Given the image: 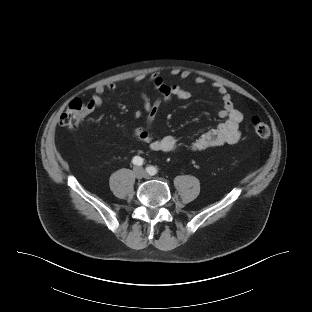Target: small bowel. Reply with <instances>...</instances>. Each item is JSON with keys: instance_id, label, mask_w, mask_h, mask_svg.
I'll return each instance as SVG.
<instances>
[{"instance_id": "c3829d8e", "label": "small bowel", "mask_w": 312, "mask_h": 312, "mask_svg": "<svg viewBox=\"0 0 312 312\" xmlns=\"http://www.w3.org/2000/svg\"><path fill=\"white\" fill-rule=\"evenodd\" d=\"M179 75L181 78L185 79L189 77L190 72L182 71ZM143 78V76H138L136 81H141ZM149 82L158 91L160 97L152 101L145 92L142 93L141 98L144 110H136L135 115L137 117H144L145 125L137 127L133 131V134L138 141L148 144L152 151H176L179 148L177 139L172 136H155L152 132V125L162 101L167 102L171 97L188 100L191 98L192 94L188 89L178 84H169L158 76L150 78ZM195 82L201 84L204 82V78L197 77L195 78ZM213 88L220 96L222 102V108L219 111V116L225 120L215 128L196 138L190 144V149L193 151H199L224 144H234L241 138L240 124L243 119L241 112L234 107L230 94L222 84L215 83L213 84ZM115 89L116 85L114 83H108L105 86H98L88 102V110L92 111L100 107L103 104V94L107 90L114 91Z\"/></svg>"}]
</instances>
